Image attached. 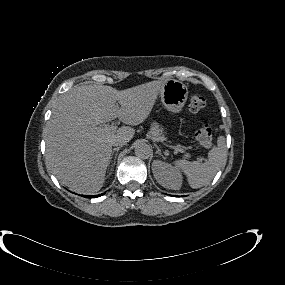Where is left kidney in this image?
Listing matches in <instances>:
<instances>
[{
	"label": "left kidney",
	"instance_id": "5707ae66",
	"mask_svg": "<svg viewBox=\"0 0 285 285\" xmlns=\"http://www.w3.org/2000/svg\"><path fill=\"white\" fill-rule=\"evenodd\" d=\"M152 172L161 186L171 190H179L181 188L182 176L170 164L155 160L152 163Z\"/></svg>",
	"mask_w": 285,
	"mask_h": 285
}]
</instances>
